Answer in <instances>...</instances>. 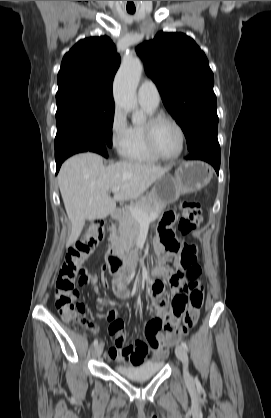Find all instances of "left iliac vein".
<instances>
[{"instance_id":"4c4485c4","label":"left iliac vein","mask_w":271,"mask_h":418,"mask_svg":"<svg viewBox=\"0 0 271 418\" xmlns=\"http://www.w3.org/2000/svg\"><path fill=\"white\" fill-rule=\"evenodd\" d=\"M175 354H176L177 358L183 363L184 377L186 379H189L190 374H189V371H188V355L186 353V350L182 346H176Z\"/></svg>"}]
</instances>
